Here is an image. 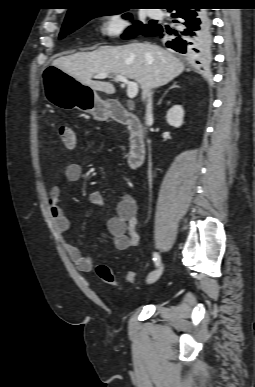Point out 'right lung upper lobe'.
<instances>
[{"mask_svg":"<svg viewBox=\"0 0 255 387\" xmlns=\"http://www.w3.org/2000/svg\"><path fill=\"white\" fill-rule=\"evenodd\" d=\"M74 7L70 8L66 18H74L81 14L94 10H110L131 4L134 0H75ZM163 4L169 6L181 0H161ZM65 18V19H66Z\"/></svg>","mask_w":255,"mask_h":387,"instance_id":"obj_1","label":"right lung upper lobe"}]
</instances>
